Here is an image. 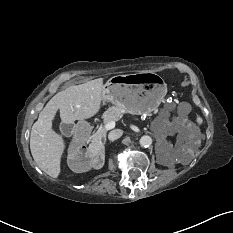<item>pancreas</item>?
<instances>
[{"label": "pancreas", "mask_w": 233, "mask_h": 233, "mask_svg": "<svg viewBox=\"0 0 233 233\" xmlns=\"http://www.w3.org/2000/svg\"><path fill=\"white\" fill-rule=\"evenodd\" d=\"M127 112L124 108L121 107H110L103 114L104 123H108L109 121H117L122 117V114ZM105 127H100L96 133V136H102L105 133Z\"/></svg>", "instance_id": "obj_1"}]
</instances>
